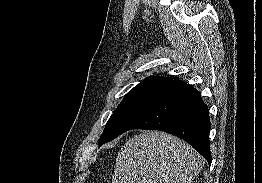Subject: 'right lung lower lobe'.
<instances>
[{
  "label": "right lung lower lobe",
  "mask_w": 262,
  "mask_h": 183,
  "mask_svg": "<svg viewBox=\"0 0 262 183\" xmlns=\"http://www.w3.org/2000/svg\"><path fill=\"white\" fill-rule=\"evenodd\" d=\"M210 127L208 107L200 98V92L185 82L174 80L156 93L122 133L132 129H155L173 134L211 164Z\"/></svg>",
  "instance_id": "right-lung-lower-lobe-1"
}]
</instances>
